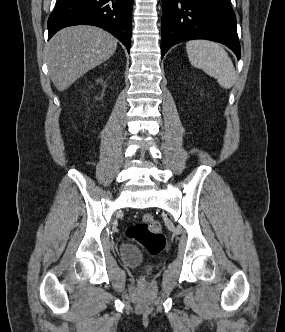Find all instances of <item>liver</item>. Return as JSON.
<instances>
[{"instance_id": "obj_1", "label": "liver", "mask_w": 285, "mask_h": 332, "mask_svg": "<svg viewBox=\"0 0 285 332\" xmlns=\"http://www.w3.org/2000/svg\"><path fill=\"white\" fill-rule=\"evenodd\" d=\"M117 39L94 26L67 27L56 33L47 46L50 78L59 91L108 60L116 51Z\"/></svg>"}]
</instances>
